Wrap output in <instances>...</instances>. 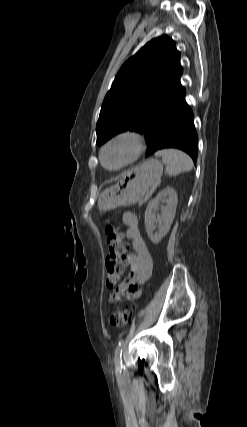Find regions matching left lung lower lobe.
Masks as SVG:
<instances>
[{
    "mask_svg": "<svg viewBox=\"0 0 247 427\" xmlns=\"http://www.w3.org/2000/svg\"><path fill=\"white\" fill-rule=\"evenodd\" d=\"M185 91L159 112L148 125L146 156L165 148L186 152L196 164L198 137L193 113L185 99Z\"/></svg>",
    "mask_w": 247,
    "mask_h": 427,
    "instance_id": "left-lung-lower-lobe-1",
    "label": "left lung lower lobe"
}]
</instances>
